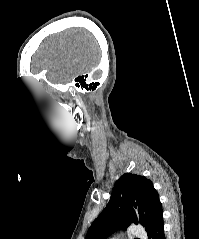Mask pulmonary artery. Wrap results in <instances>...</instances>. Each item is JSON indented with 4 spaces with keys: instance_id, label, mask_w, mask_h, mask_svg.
<instances>
[{
    "instance_id": "1",
    "label": "pulmonary artery",
    "mask_w": 199,
    "mask_h": 239,
    "mask_svg": "<svg viewBox=\"0 0 199 239\" xmlns=\"http://www.w3.org/2000/svg\"><path fill=\"white\" fill-rule=\"evenodd\" d=\"M130 234L133 237H139V238H145L146 237L145 230L138 225H133L132 226Z\"/></svg>"
}]
</instances>
